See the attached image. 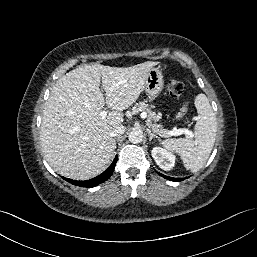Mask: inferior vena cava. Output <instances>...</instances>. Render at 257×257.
<instances>
[{
  "instance_id": "inferior-vena-cava-1",
  "label": "inferior vena cava",
  "mask_w": 257,
  "mask_h": 257,
  "mask_svg": "<svg viewBox=\"0 0 257 257\" xmlns=\"http://www.w3.org/2000/svg\"><path fill=\"white\" fill-rule=\"evenodd\" d=\"M124 132H125V127L123 125H120V126L115 127L110 132V136L116 137V136H119V135L123 134Z\"/></svg>"
}]
</instances>
